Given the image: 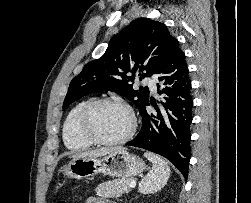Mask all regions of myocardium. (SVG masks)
<instances>
[{"label":"myocardium","mask_w":251,"mask_h":203,"mask_svg":"<svg viewBox=\"0 0 251 203\" xmlns=\"http://www.w3.org/2000/svg\"><path fill=\"white\" fill-rule=\"evenodd\" d=\"M103 104H116L123 107L130 116L131 124L130 128L125 135L118 139L114 140H105L99 138L95 135L90 129L91 117L94 110ZM77 129L82 138L88 141L91 144L100 145V146H117L126 143L129 141L135 134L137 129V119L132 108L123 100L116 97H103L89 102L84 109L81 111Z\"/></svg>","instance_id":"1"}]
</instances>
